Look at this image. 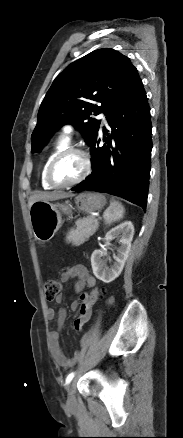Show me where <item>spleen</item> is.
I'll return each mask as SVG.
<instances>
[{"label": "spleen", "mask_w": 183, "mask_h": 438, "mask_svg": "<svg viewBox=\"0 0 183 438\" xmlns=\"http://www.w3.org/2000/svg\"><path fill=\"white\" fill-rule=\"evenodd\" d=\"M124 213L125 209L123 205L116 200H112L110 206L104 211L103 218L106 223L110 224L121 220Z\"/></svg>", "instance_id": "obj_1"}]
</instances>
